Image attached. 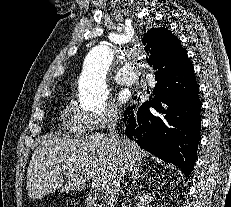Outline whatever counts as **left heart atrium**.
<instances>
[{
  "mask_svg": "<svg viewBox=\"0 0 231 207\" xmlns=\"http://www.w3.org/2000/svg\"><path fill=\"white\" fill-rule=\"evenodd\" d=\"M127 95L126 94H122L121 96H120V98H119V100H120V102H122V103H125L126 101H127Z\"/></svg>",
  "mask_w": 231,
  "mask_h": 207,
  "instance_id": "1",
  "label": "left heart atrium"
}]
</instances>
